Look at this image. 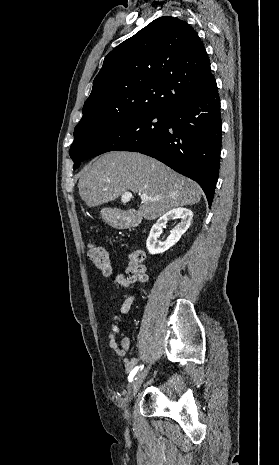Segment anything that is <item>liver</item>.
<instances>
[{
	"instance_id": "6515ba94",
	"label": "liver",
	"mask_w": 279,
	"mask_h": 465,
	"mask_svg": "<svg viewBox=\"0 0 279 465\" xmlns=\"http://www.w3.org/2000/svg\"><path fill=\"white\" fill-rule=\"evenodd\" d=\"M79 195L90 208L110 202L127 191L145 193L158 201H142L138 215L155 220L166 212L200 201L202 190L165 164L136 152L112 151L93 159L80 173Z\"/></svg>"
}]
</instances>
